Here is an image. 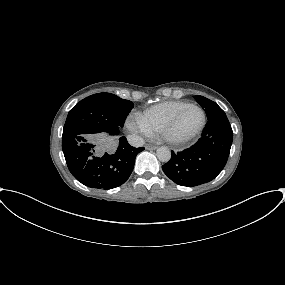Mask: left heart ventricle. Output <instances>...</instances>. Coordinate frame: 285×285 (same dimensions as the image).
I'll return each mask as SVG.
<instances>
[{
  "mask_svg": "<svg viewBox=\"0 0 285 285\" xmlns=\"http://www.w3.org/2000/svg\"><path fill=\"white\" fill-rule=\"evenodd\" d=\"M201 121V113L197 109H189L183 115L178 126L174 130V134L180 137L189 135L197 130Z\"/></svg>",
  "mask_w": 285,
  "mask_h": 285,
  "instance_id": "left-heart-ventricle-1",
  "label": "left heart ventricle"
}]
</instances>
